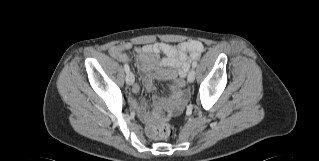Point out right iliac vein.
<instances>
[{
	"mask_svg": "<svg viewBox=\"0 0 319 161\" xmlns=\"http://www.w3.org/2000/svg\"><path fill=\"white\" fill-rule=\"evenodd\" d=\"M133 82H134V75H133L132 72L129 71V72L126 74V83H127L128 85H132Z\"/></svg>",
	"mask_w": 319,
	"mask_h": 161,
	"instance_id": "obj_1",
	"label": "right iliac vein"
}]
</instances>
